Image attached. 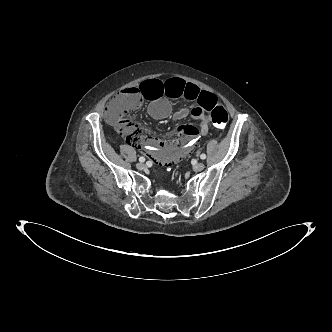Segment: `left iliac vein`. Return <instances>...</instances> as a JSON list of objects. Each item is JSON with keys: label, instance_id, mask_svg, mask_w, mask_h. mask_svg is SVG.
Instances as JSON below:
<instances>
[{"label": "left iliac vein", "instance_id": "left-iliac-vein-1", "mask_svg": "<svg viewBox=\"0 0 332 332\" xmlns=\"http://www.w3.org/2000/svg\"><path fill=\"white\" fill-rule=\"evenodd\" d=\"M205 168L203 163H196L193 165V170L196 172L202 171Z\"/></svg>", "mask_w": 332, "mask_h": 332}]
</instances>
